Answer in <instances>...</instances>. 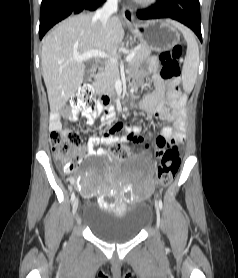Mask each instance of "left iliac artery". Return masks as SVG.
<instances>
[{"label":"left iliac artery","mask_w":238,"mask_h":278,"mask_svg":"<svg viewBox=\"0 0 238 278\" xmlns=\"http://www.w3.org/2000/svg\"><path fill=\"white\" fill-rule=\"evenodd\" d=\"M158 205H159V208L162 209V207H163L162 200L158 201Z\"/></svg>","instance_id":"obj_1"}]
</instances>
